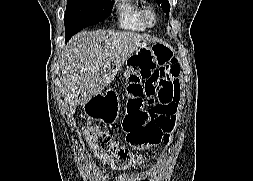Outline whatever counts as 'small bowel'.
I'll use <instances>...</instances> for the list:
<instances>
[{
	"instance_id": "1",
	"label": "small bowel",
	"mask_w": 253,
	"mask_h": 181,
	"mask_svg": "<svg viewBox=\"0 0 253 181\" xmlns=\"http://www.w3.org/2000/svg\"><path fill=\"white\" fill-rule=\"evenodd\" d=\"M131 67L141 76V84L146 93L161 94L168 98L169 114L175 118L179 101V81L177 68L160 65L148 53H139ZM150 171H142L132 175H122L117 181H150Z\"/></svg>"
}]
</instances>
